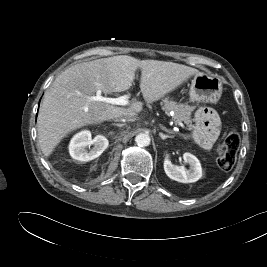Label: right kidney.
Returning <instances> with one entry per match:
<instances>
[{
  "mask_svg": "<svg viewBox=\"0 0 267 267\" xmlns=\"http://www.w3.org/2000/svg\"><path fill=\"white\" fill-rule=\"evenodd\" d=\"M93 147L87 150V147ZM109 142L103 135H97L94 139L88 130L75 134L69 143V153L73 159L88 162L99 157L108 147Z\"/></svg>",
  "mask_w": 267,
  "mask_h": 267,
  "instance_id": "obj_1",
  "label": "right kidney"
}]
</instances>
